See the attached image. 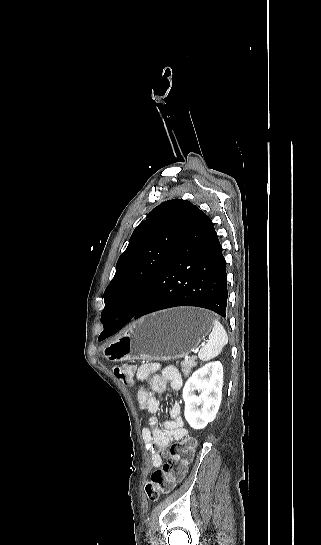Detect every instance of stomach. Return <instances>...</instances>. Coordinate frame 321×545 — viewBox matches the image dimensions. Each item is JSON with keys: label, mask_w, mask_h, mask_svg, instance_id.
Masks as SVG:
<instances>
[{"label": "stomach", "mask_w": 321, "mask_h": 545, "mask_svg": "<svg viewBox=\"0 0 321 545\" xmlns=\"http://www.w3.org/2000/svg\"><path fill=\"white\" fill-rule=\"evenodd\" d=\"M212 329L210 311L176 307L141 317L107 349L111 361H171L192 353Z\"/></svg>", "instance_id": "1"}]
</instances>
